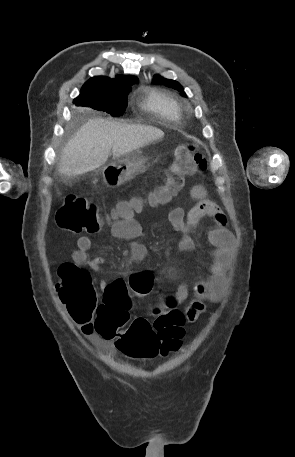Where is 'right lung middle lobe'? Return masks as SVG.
<instances>
[{"label": "right lung middle lobe", "instance_id": "obj_1", "mask_svg": "<svg viewBox=\"0 0 295 457\" xmlns=\"http://www.w3.org/2000/svg\"><path fill=\"white\" fill-rule=\"evenodd\" d=\"M130 87L114 90L81 89L80 95L74 100L77 106H86L106 111L114 117L121 116L127 107V95Z\"/></svg>", "mask_w": 295, "mask_h": 457}]
</instances>
